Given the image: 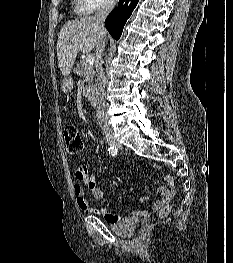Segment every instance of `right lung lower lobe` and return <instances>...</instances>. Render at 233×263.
Segmentation results:
<instances>
[{
	"mask_svg": "<svg viewBox=\"0 0 233 263\" xmlns=\"http://www.w3.org/2000/svg\"><path fill=\"white\" fill-rule=\"evenodd\" d=\"M139 0H120L115 8L105 20V27L111 36L118 40L122 34L123 27L127 19L131 16L133 9Z\"/></svg>",
	"mask_w": 233,
	"mask_h": 263,
	"instance_id": "98d812e1",
	"label": "right lung lower lobe"
}]
</instances>
